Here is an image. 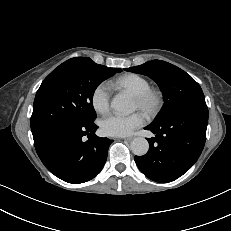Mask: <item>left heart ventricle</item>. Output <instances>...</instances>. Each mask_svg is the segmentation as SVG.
I'll return each mask as SVG.
<instances>
[{
    "label": "left heart ventricle",
    "mask_w": 231,
    "mask_h": 231,
    "mask_svg": "<svg viewBox=\"0 0 231 231\" xmlns=\"http://www.w3.org/2000/svg\"><path fill=\"white\" fill-rule=\"evenodd\" d=\"M133 106H134L135 109L138 108V105H137V102L135 101V99L133 100Z\"/></svg>",
    "instance_id": "b2bd125f"
}]
</instances>
